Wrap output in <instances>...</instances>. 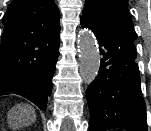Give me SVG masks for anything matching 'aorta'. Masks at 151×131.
I'll list each match as a JSON object with an SVG mask.
<instances>
[{"label": "aorta", "mask_w": 151, "mask_h": 131, "mask_svg": "<svg viewBox=\"0 0 151 131\" xmlns=\"http://www.w3.org/2000/svg\"><path fill=\"white\" fill-rule=\"evenodd\" d=\"M78 52L80 59V75L86 84L97 77L100 68V53L93 35L84 30L79 36Z\"/></svg>", "instance_id": "aorta-1"}]
</instances>
